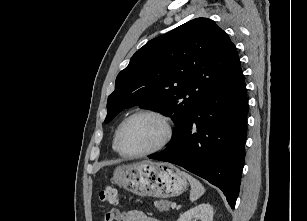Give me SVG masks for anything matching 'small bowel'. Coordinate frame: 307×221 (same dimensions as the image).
Returning a JSON list of instances; mask_svg holds the SVG:
<instances>
[{"mask_svg":"<svg viewBox=\"0 0 307 221\" xmlns=\"http://www.w3.org/2000/svg\"><path fill=\"white\" fill-rule=\"evenodd\" d=\"M103 221H160L155 217L145 214L141 210L120 211L112 209L109 211Z\"/></svg>","mask_w":307,"mask_h":221,"instance_id":"obj_1","label":"small bowel"}]
</instances>
